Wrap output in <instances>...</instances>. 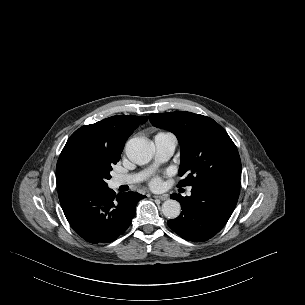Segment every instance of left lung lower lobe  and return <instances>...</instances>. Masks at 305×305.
Instances as JSON below:
<instances>
[{
	"mask_svg": "<svg viewBox=\"0 0 305 305\" xmlns=\"http://www.w3.org/2000/svg\"><path fill=\"white\" fill-rule=\"evenodd\" d=\"M240 179H215L192 187L190 197L172 194L182 212L168 226L184 239L203 242L216 235L232 215L239 197Z\"/></svg>",
	"mask_w": 305,
	"mask_h": 305,
	"instance_id": "1",
	"label": "left lung lower lobe"
}]
</instances>
